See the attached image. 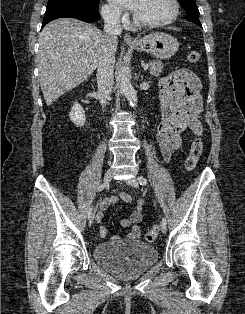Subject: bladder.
I'll return each mask as SVG.
<instances>
[{"mask_svg":"<svg viewBox=\"0 0 245 314\" xmlns=\"http://www.w3.org/2000/svg\"><path fill=\"white\" fill-rule=\"evenodd\" d=\"M95 261L108 271L131 277L145 272L158 260L155 247L140 240L107 242L93 248Z\"/></svg>","mask_w":245,"mask_h":314,"instance_id":"31cf9c89","label":"bladder"}]
</instances>
